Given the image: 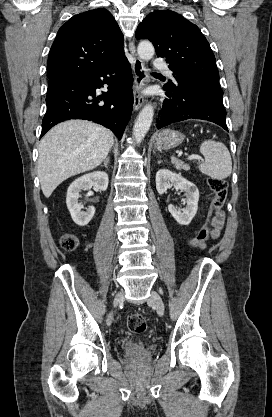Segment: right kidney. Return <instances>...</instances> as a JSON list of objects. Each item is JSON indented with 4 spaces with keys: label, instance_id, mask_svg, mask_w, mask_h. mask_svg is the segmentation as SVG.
<instances>
[{
    "label": "right kidney",
    "instance_id": "ca27d5eb",
    "mask_svg": "<svg viewBox=\"0 0 272 417\" xmlns=\"http://www.w3.org/2000/svg\"><path fill=\"white\" fill-rule=\"evenodd\" d=\"M108 175L105 172L96 171L83 175L71 183L67 190L66 204L73 221L79 226H86L95 214V208L90 206L85 212L78 203L81 190H88L92 187L105 191L108 187Z\"/></svg>",
    "mask_w": 272,
    "mask_h": 417
}]
</instances>
